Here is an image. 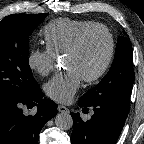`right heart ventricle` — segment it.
I'll return each instance as SVG.
<instances>
[{
	"mask_svg": "<svg viewBox=\"0 0 144 144\" xmlns=\"http://www.w3.org/2000/svg\"><path fill=\"white\" fill-rule=\"evenodd\" d=\"M96 24L90 20L60 18L50 22L43 30L46 47L56 56L63 55L77 34L86 27Z\"/></svg>",
	"mask_w": 144,
	"mask_h": 144,
	"instance_id": "1",
	"label": "right heart ventricle"
}]
</instances>
